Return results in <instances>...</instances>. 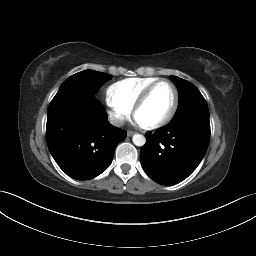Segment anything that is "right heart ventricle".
<instances>
[{
	"instance_id": "1",
	"label": "right heart ventricle",
	"mask_w": 256,
	"mask_h": 256,
	"mask_svg": "<svg viewBox=\"0 0 256 256\" xmlns=\"http://www.w3.org/2000/svg\"><path fill=\"white\" fill-rule=\"evenodd\" d=\"M159 80L154 77L128 78L112 84L107 90V97L111 103L122 105L129 109L140 94L152 83Z\"/></svg>"
}]
</instances>
